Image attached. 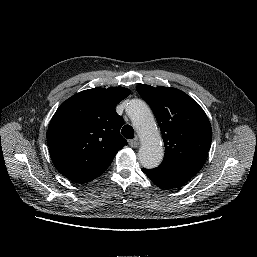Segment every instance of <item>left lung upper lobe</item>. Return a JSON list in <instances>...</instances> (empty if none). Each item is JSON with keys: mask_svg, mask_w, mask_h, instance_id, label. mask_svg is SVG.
Returning a JSON list of instances; mask_svg holds the SVG:
<instances>
[{"mask_svg": "<svg viewBox=\"0 0 257 257\" xmlns=\"http://www.w3.org/2000/svg\"><path fill=\"white\" fill-rule=\"evenodd\" d=\"M136 89L161 129L165 157L158 167L195 176L207 159L212 140L211 125L203 109L176 88L139 84Z\"/></svg>", "mask_w": 257, "mask_h": 257, "instance_id": "1", "label": "left lung upper lobe"}]
</instances>
